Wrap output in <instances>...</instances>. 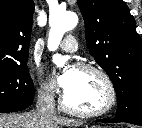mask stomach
I'll return each mask as SVG.
<instances>
[{
	"label": "stomach",
	"instance_id": "0dacf381",
	"mask_svg": "<svg viewBox=\"0 0 142 128\" xmlns=\"http://www.w3.org/2000/svg\"><path fill=\"white\" fill-rule=\"evenodd\" d=\"M92 128H99V127L93 126Z\"/></svg>",
	"mask_w": 142,
	"mask_h": 128
}]
</instances>
